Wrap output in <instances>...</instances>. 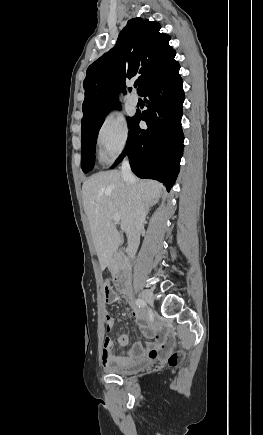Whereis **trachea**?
Returning <instances> with one entry per match:
<instances>
[{
    "mask_svg": "<svg viewBox=\"0 0 263 435\" xmlns=\"http://www.w3.org/2000/svg\"><path fill=\"white\" fill-rule=\"evenodd\" d=\"M137 86H138V84H137V83H135V84H134V87L136 88Z\"/></svg>",
    "mask_w": 263,
    "mask_h": 435,
    "instance_id": "obj_1",
    "label": "trachea"
}]
</instances>
